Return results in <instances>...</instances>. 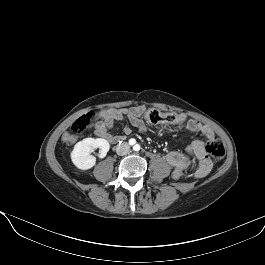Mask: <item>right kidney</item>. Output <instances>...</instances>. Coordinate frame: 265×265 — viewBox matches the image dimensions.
I'll return each mask as SVG.
<instances>
[{
    "instance_id": "1",
    "label": "right kidney",
    "mask_w": 265,
    "mask_h": 265,
    "mask_svg": "<svg viewBox=\"0 0 265 265\" xmlns=\"http://www.w3.org/2000/svg\"><path fill=\"white\" fill-rule=\"evenodd\" d=\"M99 148V156L104 158L109 151L110 145L105 139L85 138L78 142L71 152L73 164L80 170H88L95 165L96 158L90 153L92 150Z\"/></svg>"
}]
</instances>
